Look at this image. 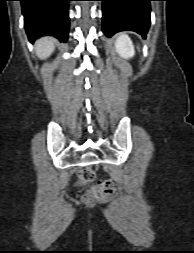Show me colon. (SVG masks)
<instances>
[{
  "label": "colon",
  "instance_id": "colon-1",
  "mask_svg": "<svg viewBox=\"0 0 194 253\" xmlns=\"http://www.w3.org/2000/svg\"><path fill=\"white\" fill-rule=\"evenodd\" d=\"M94 171L90 168L83 169L78 178L80 185L87 186L84 199L86 201L94 199H105L111 196L115 191L113 181L109 179L93 182Z\"/></svg>",
  "mask_w": 194,
  "mask_h": 253
}]
</instances>
